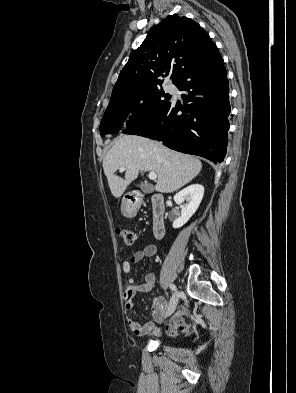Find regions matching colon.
<instances>
[{"instance_id":"obj_1","label":"colon","mask_w":296,"mask_h":393,"mask_svg":"<svg viewBox=\"0 0 296 393\" xmlns=\"http://www.w3.org/2000/svg\"><path fill=\"white\" fill-rule=\"evenodd\" d=\"M116 233L126 245L134 244L135 233L133 231L124 228H117Z\"/></svg>"}]
</instances>
